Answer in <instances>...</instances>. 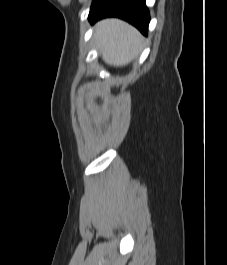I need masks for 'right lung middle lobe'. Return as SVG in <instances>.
Masks as SVG:
<instances>
[{"label": "right lung middle lobe", "instance_id": "1", "mask_svg": "<svg viewBox=\"0 0 227 265\" xmlns=\"http://www.w3.org/2000/svg\"><path fill=\"white\" fill-rule=\"evenodd\" d=\"M107 0H93L89 17L95 14Z\"/></svg>", "mask_w": 227, "mask_h": 265}]
</instances>
